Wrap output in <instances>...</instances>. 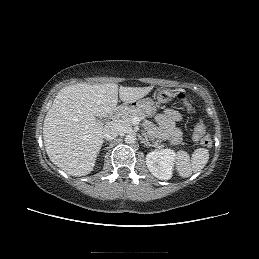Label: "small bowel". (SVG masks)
Instances as JSON below:
<instances>
[{"label":"small bowel","instance_id":"obj_1","mask_svg":"<svg viewBox=\"0 0 259 259\" xmlns=\"http://www.w3.org/2000/svg\"><path fill=\"white\" fill-rule=\"evenodd\" d=\"M182 119V115L173 109L165 110L157 116L158 136L162 139H168L173 143L180 141L181 133L175 127V123Z\"/></svg>","mask_w":259,"mask_h":259}]
</instances>
